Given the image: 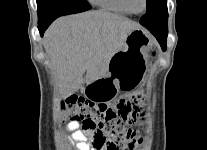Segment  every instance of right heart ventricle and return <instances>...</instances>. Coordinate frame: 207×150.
Wrapping results in <instances>:
<instances>
[{
  "mask_svg": "<svg viewBox=\"0 0 207 150\" xmlns=\"http://www.w3.org/2000/svg\"><path fill=\"white\" fill-rule=\"evenodd\" d=\"M92 2L107 11H111L121 15L132 14L126 7L123 0H92Z\"/></svg>",
  "mask_w": 207,
  "mask_h": 150,
  "instance_id": "e07e8e85",
  "label": "right heart ventricle"
}]
</instances>
